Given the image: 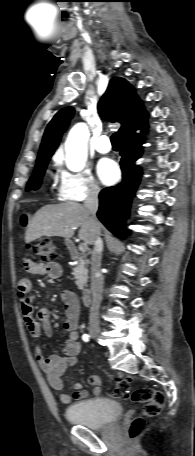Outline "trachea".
Returning a JSON list of instances; mask_svg holds the SVG:
<instances>
[{
    "label": "trachea",
    "mask_w": 195,
    "mask_h": 456,
    "mask_svg": "<svg viewBox=\"0 0 195 456\" xmlns=\"http://www.w3.org/2000/svg\"><path fill=\"white\" fill-rule=\"evenodd\" d=\"M120 134L119 133H114L112 136H111V143L114 147H119L120 146Z\"/></svg>",
    "instance_id": "3493384b"
}]
</instances>
